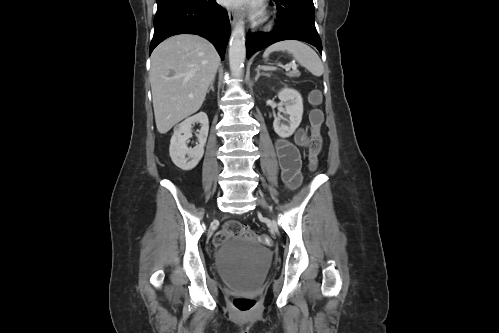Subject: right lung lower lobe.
<instances>
[{"instance_id":"right-lung-lower-lobe-1","label":"right lung lower lobe","mask_w":499,"mask_h":333,"mask_svg":"<svg viewBox=\"0 0 499 333\" xmlns=\"http://www.w3.org/2000/svg\"><path fill=\"white\" fill-rule=\"evenodd\" d=\"M157 4L150 53L166 38L188 33L208 39L224 59L230 22L215 0H157Z\"/></svg>"}]
</instances>
